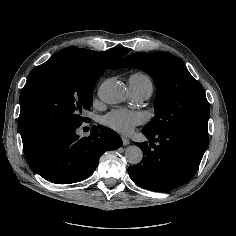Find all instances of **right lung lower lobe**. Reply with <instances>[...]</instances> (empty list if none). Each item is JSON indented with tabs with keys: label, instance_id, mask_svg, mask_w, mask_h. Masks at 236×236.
Instances as JSON below:
<instances>
[{
	"label": "right lung lower lobe",
	"instance_id": "obj_1",
	"mask_svg": "<svg viewBox=\"0 0 236 236\" xmlns=\"http://www.w3.org/2000/svg\"><path fill=\"white\" fill-rule=\"evenodd\" d=\"M80 126L53 127L24 143L30 167L52 183H76L93 173L105 151L122 146L120 136L110 128L92 126L90 135L80 138Z\"/></svg>",
	"mask_w": 236,
	"mask_h": 236
}]
</instances>
